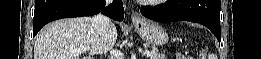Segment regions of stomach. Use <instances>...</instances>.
<instances>
[{
	"label": "stomach",
	"mask_w": 261,
	"mask_h": 59,
	"mask_svg": "<svg viewBox=\"0 0 261 59\" xmlns=\"http://www.w3.org/2000/svg\"><path fill=\"white\" fill-rule=\"evenodd\" d=\"M134 26L140 37L148 44L160 46L169 40L165 29L155 21L142 19L134 23Z\"/></svg>",
	"instance_id": "obj_1"
}]
</instances>
